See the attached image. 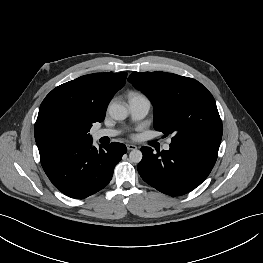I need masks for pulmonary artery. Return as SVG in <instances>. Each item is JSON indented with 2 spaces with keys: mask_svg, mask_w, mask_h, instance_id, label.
I'll return each instance as SVG.
<instances>
[{
  "mask_svg": "<svg viewBox=\"0 0 263 263\" xmlns=\"http://www.w3.org/2000/svg\"><path fill=\"white\" fill-rule=\"evenodd\" d=\"M130 105V114L133 120L138 121L143 119L150 110V102L145 96L131 97L129 100ZM119 132L111 128H103L93 131L92 136L95 140H98L103 137H113L116 136ZM170 140L164 144L163 149H170Z\"/></svg>",
  "mask_w": 263,
  "mask_h": 263,
  "instance_id": "obj_1",
  "label": "pulmonary artery"
}]
</instances>
